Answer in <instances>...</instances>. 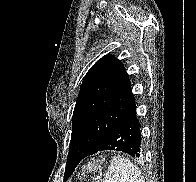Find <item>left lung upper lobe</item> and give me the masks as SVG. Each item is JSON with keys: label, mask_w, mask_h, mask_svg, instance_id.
<instances>
[{"label": "left lung upper lobe", "mask_w": 196, "mask_h": 182, "mask_svg": "<svg viewBox=\"0 0 196 182\" xmlns=\"http://www.w3.org/2000/svg\"><path fill=\"white\" fill-rule=\"evenodd\" d=\"M129 75L114 55H105L87 72L73 112L69 151H93L134 106ZM67 160L64 181L76 165Z\"/></svg>", "instance_id": "obj_1"}]
</instances>
